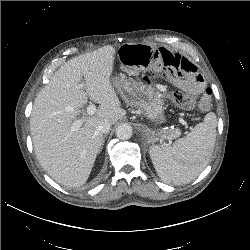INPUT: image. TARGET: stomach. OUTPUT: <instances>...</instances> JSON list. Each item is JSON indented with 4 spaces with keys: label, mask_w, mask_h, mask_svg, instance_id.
Here are the masks:
<instances>
[{
    "label": "stomach",
    "mask_w": 250,
    "mask_h": 250,
    "mask_svg": "<svg viewBox=\"0 0 250 250\" xmlns=\"http://www.w3.org/2000/svg\"><path fill=\"white\" fill-rule=\"evenodd\" d=\"M116 87L125 99L129 100L150 119L161 120L163 118L164 101L162 90L151 80V77L138 82L116 84ZM179 134L178 129L168 128L160 131L158 136L162 139L171 140L178 137Z\"/></svg>",
    "instance_id": "stomach-1"
}]
</instances>
